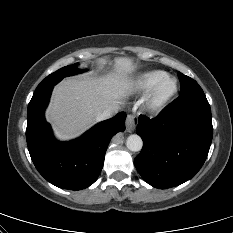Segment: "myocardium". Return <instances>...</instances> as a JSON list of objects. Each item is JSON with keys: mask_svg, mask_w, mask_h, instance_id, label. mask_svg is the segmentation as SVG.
Wrapping results in <instances>:
<instances>
[{"mask_svg": "<svg viewBox=\"0 0 233 233\" xmlns=\"http://www.w3.org/2000/svg\"><path fill=\"white\" fill-rule=\"evenodd\" d=\"M169 85L167 89L165 86ZM178 92V83L170 75H164L152 87L145 100L148 111L155 112L166 106Z\"/></svg>", "mask_w": 233, "mask_h": 233, "instance_id": "1", "label": "myocardium"}]
</instances>
